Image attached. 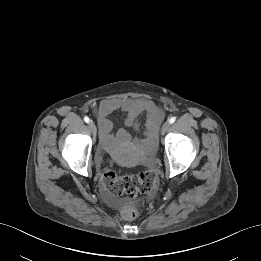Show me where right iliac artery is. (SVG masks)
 Instances as JSON below:
<instances>
[{
    "instance_id": "right-iliac-artery-1",
    "label": "right iliac artery",
    "mask_w": 261,
    "mask_h": 261,
    "mask_svg": "<svg viewBox=\"0 0 261 261\" xmlns=\"http://www.w3.org/2000/svg\"><path fill=\"white\" fill-rule=\"evenodd\" d=\"M84 121H85L86 123H89V122H90L89 117L85 116V117H84Z\"/></svg>"
}]
</instances>
